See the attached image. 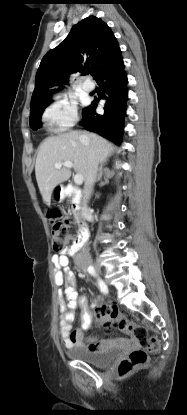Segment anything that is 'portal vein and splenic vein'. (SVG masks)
Segmentation results:
<instances>
[{"label": "portal vein and splenic vein", "mask_w": 187, "mask_h": 415, "mask_svg": "<svg viewBox=\"0 0 187 415\" xmlns=\"http://www.w3.org/2000/svg\"><path fill=\"white\" fill-rule=\"evenodd\" d=\"M55 168L56 169H60L62 166L68 167V168H72L73 167V163L71 161H65L63 163H55ZM74 182L76 185H81L83 183V176L81 174H76L74 176Z\"/></svg>", "instance_id": "1"}]
</instances>
